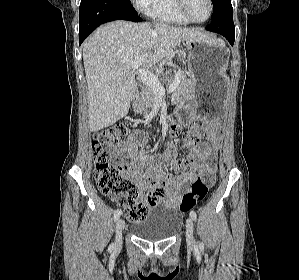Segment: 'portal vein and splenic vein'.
I'll return each mask as SVG.
<instances>
[{
    "mask_svg": "<svg viewBox=\"0 0 299 280\" xmlns=\"http://www.w3.org/2000/svg\"><path fill=\"white\" fill-rule=\"evenodd\" d=\"M144 60H145V56L140 57L137 60H135L133 62V64H132V70L133 71L137 70V73H138L139 77L141 78V80L146 85H148L149 87H151L156 94H158L160 96L165 95L166 90L161 85V83L159 82L158 78L155 77L153 74L148 73L144 69L140 68V66L143 64ZM179 82H180V71H178L177 74L175 75V78H174L173 82L169 85L168 90L169 91L175 90L177 88Z\"/></svg>",
    "mask_w": 299,
    "mask_h": 280,
    "instance_id": "18ae733b",
    "label": "portal vein and splenic vein"
}]
</instances>
